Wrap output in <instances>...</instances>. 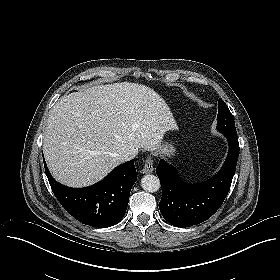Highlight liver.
Segmentation results:
<instances>
[{"instance_id":"6515ba94","label":"liver","mask_w":280,"mask_h":280,"mask_svg":"<svg viewBox=\"0 0 280 280\" xmlns=\"http://www.w3.org/2000/svg\"><path fill=\"white\" fill-rule=\"evenodd\" d=\"M176 122L150 87L120 82L63 96L50 110L43 140L48 168L60 183L86 187L143 148L158 152Z\"/></svg>"}]
</instances>
